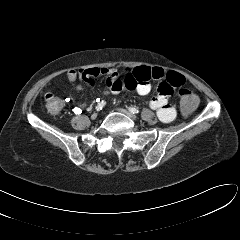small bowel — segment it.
<instances>
[{"instance_id":"obj_1","label":"small bowel","mask_w":240,"mask_h":240,"mask_svg":"<svg viewBox=\"0 0 240 240\" xmlns=\"http://www.w3.org/2000/svg\"><path fill=\"white\" fill-rule=\"evenodd\" d=\"M97 76L106 77L104 93H121L125 91H136L140 96H146L151 91L150 80H158V94L150 101L151 109L156 111L157 117L164 123L173 121L176 117V109L168 103L171 92L185 83L184 77L175 71H166L159 67H138L127 70L121 77L119 73L111 68H88L79 71L70 70L66 74L69 82L75 83L80 80L90 87L94 86L93 78ZM77 91L83 89L81 84H76ZM79 103L76 110L84 107Z\"/></svg>"}]
</instances>
